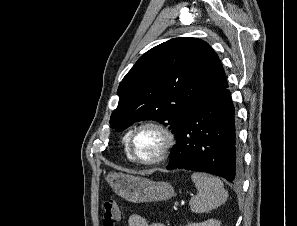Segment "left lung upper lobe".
<instances>
[{
    "label": "left lung upper lobe",
    "instance_id": "left-lung-upper-lobe-1",
    "mask_svg": "<svg viewBox=\"0 0 297 226\" xmlns=\"http://www.w3.org/2000/svg\"><path fill=\"white\" fill-rule=\"evenodd\" d=\"M228 86L215 51L206 42L180 37L146 52L118 87L110 126L122 131L135 121L154 120L175 134L210 90Z\"/></svg>",
    "mask_w": 297,
    "mask_h": 226
}]
</instances>
